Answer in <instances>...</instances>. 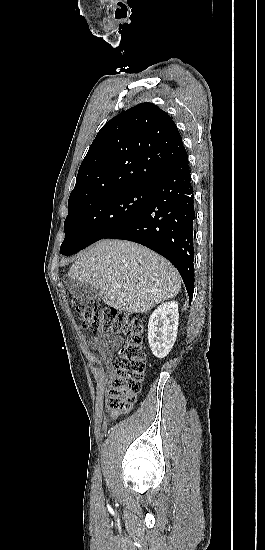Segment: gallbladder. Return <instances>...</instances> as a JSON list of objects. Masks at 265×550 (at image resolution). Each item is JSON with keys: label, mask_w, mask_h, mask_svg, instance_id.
<instances>
[{"label": "gallbladder", "mask_w": 265, "mask_h": 550, "mask_svg": "<svg viewBox=\"0 0 265 550\" xmlns=\"http://www.w3.org/2000/svg\"><path fill=\"white\" fill-rule=\"evenodd\" d=\"M66 286L70 293L82 303H98L102 299L101 293L88 283H78L74 280H66Z\"/></svg>", "instance_id": "bac80fb5"}]
</instances>
